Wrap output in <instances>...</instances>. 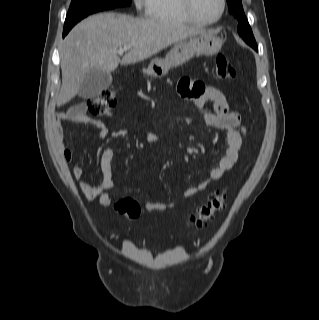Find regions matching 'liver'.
Returning <instances> with one entry per match:
<instances>
[{"label":"liver","mask_w":319,"mask_h":320,"mask_svg":"<svg viewBox=\"0 0 319 320\" xmlns=\"http://www.w3.org/2000/svg\"><path fill=\"white\" fill-rule=\"evenodd\" d=\"M201 28L187 27L160 19H136L128 15L102 13L79 22L66 36L60 49L62 85L57 106L73 99L89 72L106 73L119 64H134L156 55L168 46L199 33ZM132 48L120 58L119 48Z\"/></svg>","instance_id":"liver-1"}]
</instances>
